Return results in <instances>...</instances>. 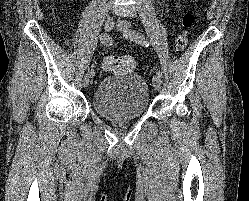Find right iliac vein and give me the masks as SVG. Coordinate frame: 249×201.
<instances>
[{"label": "right iliac vein", "mask_w": 249, "mask_h": 201, "mask_svg": "<svg viewBox=\"0 0 249 201\" xmlns=\"http://www.w3.org/2000/svg\"><path fill=\"white\" fill-rule=\"evenodd\" d=\"M113 27H114V20L110 15H108L106 17V20H105V27L104 28H105L106 31H111L113 29ZM90 78L91 77H90L89 74H86L84 76L83 82H82L84 87H87L89 85Z\"/></svg>", "instance_id": "right-iliac-vein-1"}]
</instances>
